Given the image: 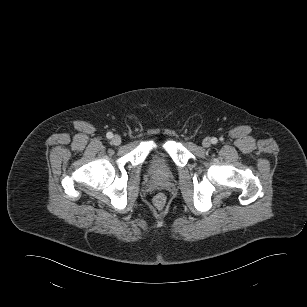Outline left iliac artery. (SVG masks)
I'll use <instances>...</instances> for the list:
<instances>
[{
    "label": "left iliac artery",
    "mask_w": 307,
    "mask_h": 307,
    "mask_svg": "<svg viewBox=\"0 0 307 307\" xmlns=\"http://www.w3.org/2000/svg\"><path fill=\"white\" fill-rule=\"evenodd\" d=\"M211 142H212L213 144H216V143H217V139H216V138H212V139H211Z\"/></svg>",
    "instance_id": "44dca946"
}]
</instances>
